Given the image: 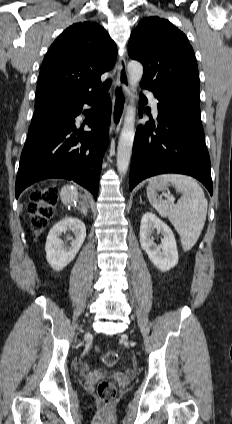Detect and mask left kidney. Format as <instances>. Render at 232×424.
<instances>
[{
	"instance_id": "obj_1",
	"label": "left kidney",
	"mask_w": 232,
	"mask_h": 424,
	"mask_svg": "<svg viewBox=\"0 0 232 424\" xmlns=\"http://www.w3.org/2000/svg\"><path fill=\"white\" fill-rule=\"evenodd\" d=\"M154 230L163 235L160 245H156L151 237ZM139 236L142 249L160 271H168L177 265L178 251L174 234L155 214L147 212L143 215Z\"/></svg>"
}]
</instances>
